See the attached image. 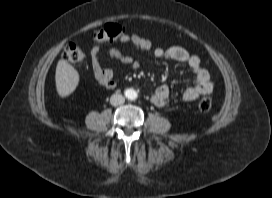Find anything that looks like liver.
<instances>
[{"mask_svg": "<svg viewBox=\"0 0 272 198\" xmlns=\"http://www.w3.org/2000/svg\"><path fill=\"white\" fill-rule=\"evenodd\" d=\"M55 80L59 96L67 97L72 94L78 86L79 74L71 64L61 59L56 66Z\"/></svg>", "mask_w": 272, "mask_h": 198, "instance_id": "6515ba94", "label": "liver"}]
</instances>
